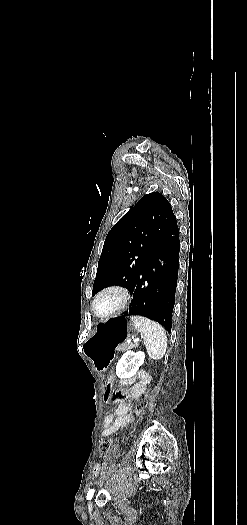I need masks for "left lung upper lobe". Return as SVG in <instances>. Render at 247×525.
I'll use <instances>...</instances> for the list:
<instances>
[{"mask_svg": "<svg viewBox=\"0 0 247 525\" xmlns=\"http://www.w3.org/2000/svg\"><path fill=\"white\" fill-rule=\"evenodd\" d=\"M173 216L162 194L144 195L107 234L92 295L111 284L129 288L145 265L154 238Z\"/></svg>", "mask_w": 247, "mask_h": 525, "instance_id": "1", "label": "left lung upper lobe"}]
</instances>
